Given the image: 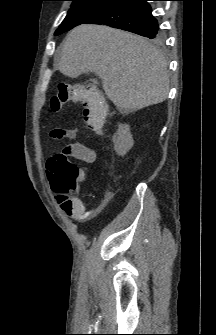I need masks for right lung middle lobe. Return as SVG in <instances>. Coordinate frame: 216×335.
I'll return each instance as SVG.
<instances>
[{
    "instance_id": "dd1d6c3e",
    "label": "right lung middle lobe",
    "mask_w": 216,
    "mask_h": 335,
    "mask_svg": "<svg viewBox=\"0 0 216 335\" xmlns=\"http://www.w3.org/2000/svg\"><path fill=\"white\" fill-rule=\"evenodd\" d=\"M72 5L67 16L56 30L55 35L64 33L73 27L85 23L90 18L110 6L117 0H70ZM155 41L161 40V35L156 36Z\"/></svg>"
}]
</instances>
